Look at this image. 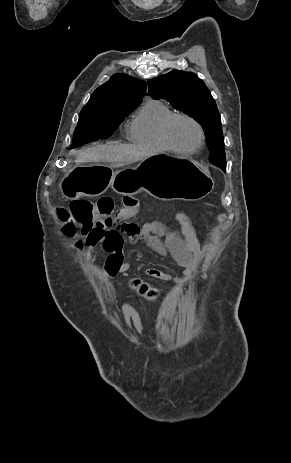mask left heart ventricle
<instances>
[{
  "label": "left heart ventricle",
  "mask_w": 291,
  "mask_h": 463,
  "mask_svg": "<svg viewBox=\"0 0 291 463\" xmlns=\"http://www.w3.org/2000/svg\"><path fill=\"white\" fill-rule=\"evenodd\" d=\"M170 137L177 146L189 149L197 145L199 133L190 121L177 119L171 126Z\"/></svg>",
  "instance_id": "left-heart-ventricle-1"
}]
</instances>
